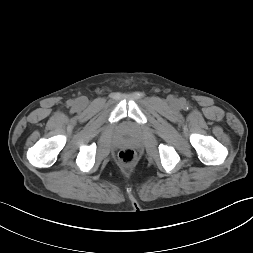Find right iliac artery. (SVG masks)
<instances>
[{"instance_id": "obj_1", "label": "right iliac artery", "mask_w": 253, "mask_h": 253, "mask_svg": "<svg viewBox=\"0 0 253 253\" xmlns=\"http://www.w3.org/2000/svg\"><path fill=\"white\" fill-rule=\"evenodd\" d=\"M73 102L72 101H69V104L71 105Z\"/></svg>"}]
</instances>
